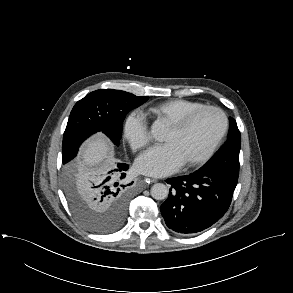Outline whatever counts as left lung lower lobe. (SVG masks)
<instances>
[{
	"label": "left lung lower lobe",
	"instance_id": "left-lung-lower-lobe-1",
	"mask_svg": "<svg viewBox=\"0 0 293 293\" xmlns=\"http://www.w3.org/2000/svg\"><path fill=\"white\" fill-rule=\"evenodd\" d=\"M166 182L171 188L161 214L166 225L180 234H195L217 222L228 210L237 185L221 174L199 171Z\"/></svg>",
	"mask_w": 293,
	"mask_h": 293
}]
</instances>
